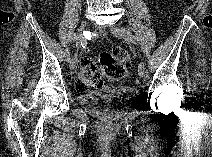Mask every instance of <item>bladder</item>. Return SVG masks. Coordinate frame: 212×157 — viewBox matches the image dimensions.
Returning <instances> with one entry per match:
<instances>
[{"mask_svg":"<svg viewBox=\"0 0 212 157\" xmlns=\"http://www.w3.org/2000/svg\"><path fill=\"white\" fill-rule=\"evenodd\" d=\"M138 92L128 86L105 87L81 91L77 95L78 104L87 112L102 120H117L123 117Z\"/></svg>","mask_w":212,"mask_h":157,"instance_id":"31cf9c89","label":"bladder"}]
</instances>
